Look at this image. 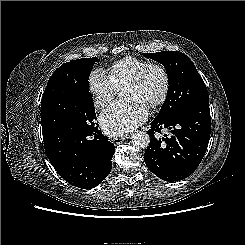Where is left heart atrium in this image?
Returning a JSON list of instances; mask_svg holds the SVG:
<instances>
[{
	"label": "left heart atrium",
	"instance_id": "obj_1",
	"mask_svg": "<svg viewBox=\"0 0 245 245\" xmlns=\"http://www.w3.org/2000/svg\"><path fill=\"white\" fill-rule=\"evenodd\" d=\"M148 115V105L137 97H131L116 102L103 111L100 124L110 135H123L142 124Z\"/></svg>",
	"mask_w": 245,
	"mask_h": 245
}]
</instances>
